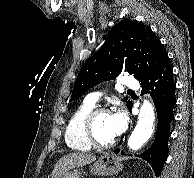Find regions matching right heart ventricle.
<instances>
[{
    "label": "right heart ventricle",
    "instance_id": "right-heart-ventricle-1",
    "mask_svg": "<svg viewBox=\"0 0 194 178\" xmlns=\"http://www.w3.org/2000/svg\"><path fill=\"white\" fill-rule=\"evenodd\" d=\"M93 107L94 104L84 101L71 115L65 130V142L69 148L77 151H88L92 148V145L84 137L82 123Z\"/></svg>",
    "mask_w": 194,
    "mask_h": 178
}]
</instances>
